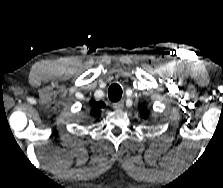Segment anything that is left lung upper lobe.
Here are the masks:
<instances>
[{
    "instance_id": "left-lung-upper-lobe-1",
    "label": "left lung upper lobe",
    "mask_w": 223,
    "mask_h": 188,
    "mask_svg": "<svg viewBox=\"0 0 223 188\" xmlns=\"http://www.w3.org/2000/svg\"><path fill=\"white\" fill-rule=\"evenodd\" d=\"M141 116L144 118L148 117L149 112L147 111V109L145 107L142 108V110L140 111Z\"/></svg>"
}]
</instances>
